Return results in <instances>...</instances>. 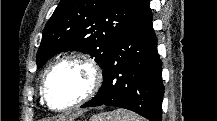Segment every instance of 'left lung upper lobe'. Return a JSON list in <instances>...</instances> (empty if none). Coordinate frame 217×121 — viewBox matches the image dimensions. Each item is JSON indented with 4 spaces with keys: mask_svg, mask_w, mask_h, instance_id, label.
Masks as SVG:
<instances>
[{
    "mask_svg": "<svg viewBox=\"0 0 217 121\" xmlns=\"http://www.w3.org/2000/svg\"><path fill=\"white\" fill-rule=\"evenodd\" d=\"M141 0H61L48 20L36 55L37 67L63 51L95 57L102 68Z\"/></svg>",
    "mask_w": 217,
    "mask_h": 121,
    "instance_id": "left-lung-upper-lobe-1",
    "label": "left lung upper lobe"
}]
</instances>
